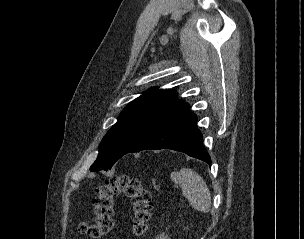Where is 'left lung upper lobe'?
I'll return each mask as SVG.
<instances>
[{"instance_id":"5c2ea615","label":"left lung upper lobe","mask_w":304,"mask_h":239,"mask_svg":"<svg viewBox=\"0 0 304 239\" xmlns=\"http://www.w3.org/2000/svg\"><path fill=\"white\" fill-rule=\"evenodd\" d=\"M173 90L150 89L121 112L99 146L91 171L109 170L114 163L157 128L188 109Z\"/></svg>"}]
</instances>
